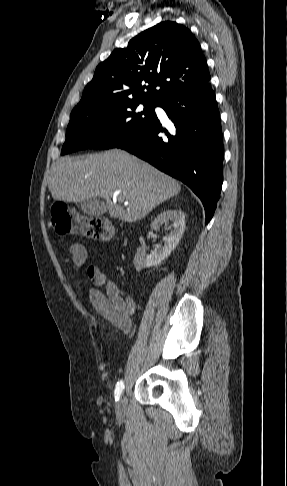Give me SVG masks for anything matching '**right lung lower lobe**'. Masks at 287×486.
I'll return each mask as SVG.
<instances>
[{"mask_svg": "<svg viewBox=\"0 0 287 486\" xmlns=\"http://www.w3.org/2000/svg\"><path fill=\"white\" fill-rule=\"evenodd\" d=\"M172 122L166 129L155 115L116 148L124 149L182 181L201 199L206 224L223 182V136L211 84L172 94L157 103Z\"/></svg>", "mask_w": 287, "mask_h": 486, "instance_id": "1", "label": "right lung lower lobe"}]
</instances>
